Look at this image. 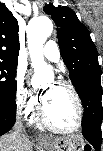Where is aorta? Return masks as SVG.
<instances>
[{
	"label": "aorta",
	"mask_w": 103,
	"mask_h": 151,
	"mask_svg": "<svg viewBox=\"0 0 103 151\" xmlns=\"http://www.w3.org/2000/svg\"><path fill=\"white\" fill-rule=\"evenodd\" d=\"M53 31L51 20L46 16L32 19L27 26L28 49L36 73L49 70L43 57V45Z\"/></svg>",
	"instance_id": "762f6f07"
}]
</instances>
